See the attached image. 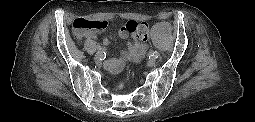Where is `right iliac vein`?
Wrapping results in <instances>:
<instances>
[{
    "label": "right iliac vein",
    "instance_id": "1",
    "mask_svg": "<svg viewBox=\"0 0 255 122\" xmlns=\"http://www.w3.org/2000/svg\"><path fill=\"white\" fill-rule=\"evenodd\" d=\"M94 59L96 63H100L102 60V54H96Z\"/></svg>",
    "mask_w": 255,
    "mask_h": 122
}]
</instances>
